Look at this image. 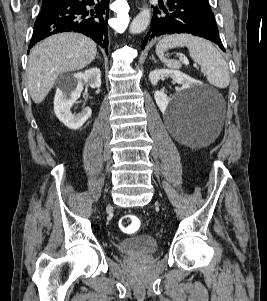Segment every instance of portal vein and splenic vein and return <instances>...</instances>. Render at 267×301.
<instances>
[{
    "label": "portal vein and splenic vein",
    "mask_w": 267,
    "mask_h": 301,
    "mask_svg": "<svg viewBox=\"0 0 267 301\" xmlns=\"http://www.w3.org/2000/svg\"><path fill=\"white\" fill-rule=\"evenodd\" d=\"M181 60H182L185 64H188V60H187L186 58H182ZM194 66L197 67L196 64H195Z\"/></svg>",
    "instance_id": "1"
}]
</instances>
